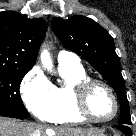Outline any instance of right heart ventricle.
Here are the masks:
<instances>
[{
    "label": "right heart ventricle",
    "instance_id": "1",
    "mask_svg": "<svg viewBox=\"0 0 136 136\" xmlns=\"http://www.w3.org/2000/svg\"><path fill=\"white\" fill-rule=\"evenodd\" d=\"M59 70L63 84L53 85L54 106L44 120L58 124L83 123L86 120L76 110L73 88L88 76L81 65L59 64Z\"/></svg>",
    "mask_w": 136,
    "mask_h": 136
}]
</instances>
